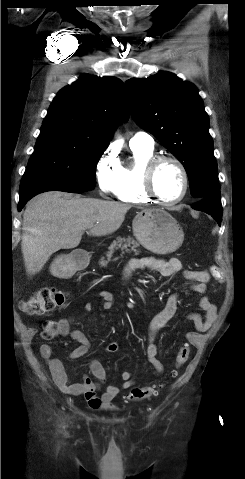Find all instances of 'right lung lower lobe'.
<instances>
[{"mask_svg":"<svg viewBox=\"0 0 245 479\" xmlns=\"http://www.w3.org/2000/svg\"><path fill=\"white\" fill-rule=\"evenodd\" d=\"M46 191H64V192H70V193H82L83 192L81 190L69 189V188L62 187V186H57V185H36V186L27 187L23 190H20L18 210L21 211L23 206L33 196H35L39 193H42V192H46Z\"/></svg>","mask_w":245,"mask_h":479,"instance_id":"right-lung-lower-lobe-1","label":"right lung lower lobe"}]
</instances>
